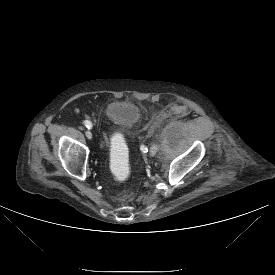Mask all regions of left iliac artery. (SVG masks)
Here are the masks:
<instances>
[{
    "mask_svg": "<svg viewBox=\"0 0 275 275\" xmlns=\"http://www.w3.org/2000/svg\"><path fill=\"white\" fill-rule=\"evenodd\" d=\"M146 149H147L146 147H142V150H143L144 152L146 151ZM147 151H148V149H147Z\"/></svg>",
    "mask_w": 275,
    "mask_h": 275,
    "instance_id": "44dca946",
    "label": "left iliac artery"
}]
</instances>
